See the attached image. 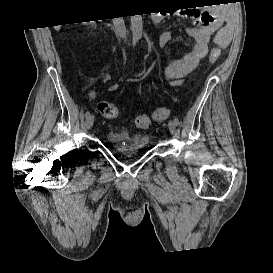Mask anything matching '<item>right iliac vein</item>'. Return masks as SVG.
I'll list each match as a JSON object with an SVG mask.
<instances>
[{
  "mask_svg": "<svg viewBox=\"0 0 273 273\" xmlns=\"http://www.w3.org/2000/svg\"><path fill=\"white\" fill-rule=\"evenodd\" d=\"M94 123V115L90 114L86 117L85 126L87 129H91Z\"/></svg>",
  "mask_w": 273,
  "mask_h": 273,
  "instance_id": "right-iliac-vein-1",
  "label": "right iliac vein"
}]
</instances>
